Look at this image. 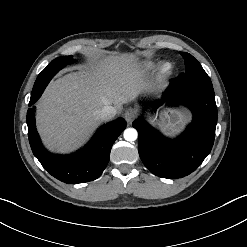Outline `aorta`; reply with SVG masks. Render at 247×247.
I'll return each mask as SVG.
<instances>
[{
  "label": "aorta",
  "mask_w": 247,
  "mask_h": 247,
  "mask_svg": "<svg viewBox=\"0 0 247 247\" xmlns=\"http://www.w3.org/2000/svg\"><path fill=\"white\" fill-rule=\"evenodd\" d=\"M123 136L126 141L132 142L137 139L138 133L134 128H127L125 129Z\"/></svg>",
  "instance_id": "aorta-1"
}]
</instances>
